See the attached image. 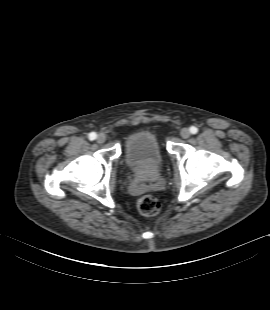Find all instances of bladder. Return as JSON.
Masks as SVG:
<instances>
[{
    "label": "bladder",
    "mask_w": 270,
    "mask_h": 310,
    "mask_svg": "<svg viewBox=\"0 0 270 310\" xmlns=\"http://www.w3.org/2000/svg\"><path fill=\"white\" fill-rule=\"evenodd\" d=\"M124 160L130 169L158 171L164 161L158 136L148 129L134 132L125 142Z\"/></svg>",
    "instance_id": "obj_1"
}]
</instances>
